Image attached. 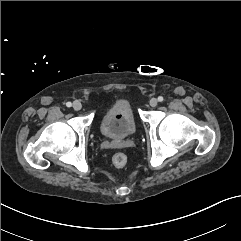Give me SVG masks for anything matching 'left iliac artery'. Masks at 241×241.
Instances as JSON below:
<instances>
[{
	"mask_svg": "<svg viewBox=\"0 0 241 241\" xmlns=\"http://www.w3.org/2000/svg\"><path fill=\"white\" fill-rule=\"evenodd\" d=\"M163 100H164V99H163L162 96H159V97H158V101H159V102H162Z\"/></svg>",
	"mask_w": 241,
	"mask_h": 241,
	"instance_id": "left-iliac-artery-1",
	"label": "left iliac artery"
}]
</instances>
